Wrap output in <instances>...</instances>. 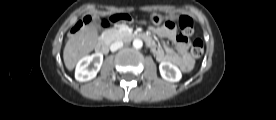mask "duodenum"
<instances>
[{
	"label": "duodenum",
	"instance_id": "obj_1",
	"mask_svg": "<svg viewBox=\"0 0 276 120\" xmlns=\"http://www.w3.org/2000/svg\"><path fill=\"white\" fill-rule=\"evenodd\" d=\"M118 20H126V19H120V18H119ZM115 21H117V20H115ZM126 21H127V20H126ZM129 21H130V20H128V22H129ZM122 22H124V21H122ZM110 23H113V22H110ZM129 23H130V22H129ZM106 24H107V23H106ZM135 37L144 40V41L147 43V45L150 44L149 37H148L147 35H145L144 33L138 34V35H136ZM96 49H97L98 52H100V53H102V54H106V53H108V51H109V43L106 42V41H100V42L97 44Z\"/></svg>",
	"mask_w": 276,
	"mask_h": 120
}]
</instances>
